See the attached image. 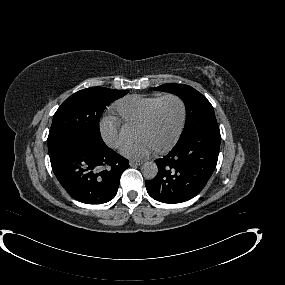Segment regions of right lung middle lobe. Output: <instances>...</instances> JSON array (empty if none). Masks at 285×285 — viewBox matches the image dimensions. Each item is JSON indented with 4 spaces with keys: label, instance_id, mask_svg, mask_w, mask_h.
Listing matches in <instances>:
<instances>
[{
    "label": "right lung middle lobe",
    "instance_id": "obj_1",
    "mask_svg": "<svg viewBox=\"0 0 285 285\" xmlns=\"http://www.w3.org/2000/svg\"><path fill=\"white\" fill-rule=\"evenodd\" d=\"M128 92L90 87L67 98L53 117L47 139L49 153L72 140L81 141L94 148L105 147L99 131L101 114L106 106Z\"/></svg>",
    "mask_w": 285,
    "mask_h": 285
}]
</instances>
